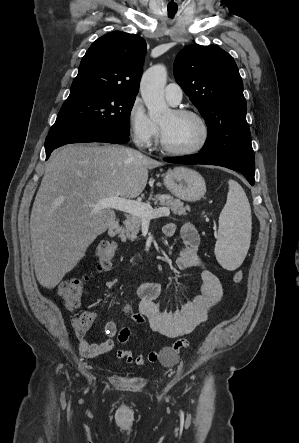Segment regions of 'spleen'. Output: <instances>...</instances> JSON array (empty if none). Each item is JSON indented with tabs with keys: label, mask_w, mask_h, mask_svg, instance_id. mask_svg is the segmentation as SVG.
<instances>
[{
	"label": "spleen",
	"mask_w": 299,
	"mask_h": 443,
	"mask_svg": "<svg viewBox=\"0 0 299 443\" xmlns=\"http://www.w3.org/2000/svg\"><path fill=\"white\" fill-rule=\"evenodd\" d=\"M226 204L219 216L215 256L227 270L237 269L244 261L251 239V208L243 188L234 180L228 181Z\"/></svg>",
	"instance_id": "spleen-1"
}]
</instances>
